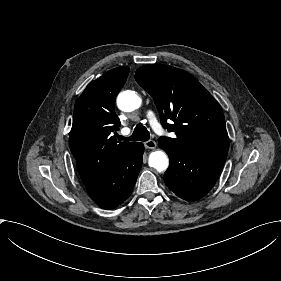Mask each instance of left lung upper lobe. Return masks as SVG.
Wrapping results in <instances>:
<instances>
[{"label":"left lung upper lobe","instance_id":"obj_1","mask_svg":"<svg viewBox=\"0 0 281 281\" xmlns=\"http://www.w3.org/2000/svg\"><path fill=\"white\" fill-rule=\"evenodd\" d=\"M135 79L153 97L163 127L176 134L159 143L190 155L227 156L221 106L194 76L168 65H144Z\"/></svg>","mask_w":281,"mask_h":281}]
</instances>
